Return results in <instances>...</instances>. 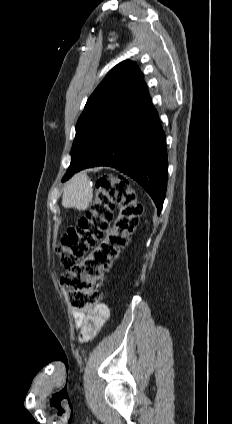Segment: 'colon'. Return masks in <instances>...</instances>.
I'll list each match as a JSON object with an SVG mask.
<instances>
[{
  "label": "colon",
  "instance_id": "obj_1",
  "mask_svg": "<svg viewBox=\"0 0 232 424\" xmlns=\"http://www.w3.org/2000/svg\"><path fill=\"white\" fill-rule=\"evenodd\" d=\"M142 210L137 192L124 180L111 175L96 180L89 211L63 236L59 248L61 285L73 308L87 310L99 302L103 274L128 244Z\"/></svg>",
  "mask_w": 232,
  "mask_h": 424
}]
</instances>
